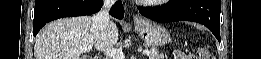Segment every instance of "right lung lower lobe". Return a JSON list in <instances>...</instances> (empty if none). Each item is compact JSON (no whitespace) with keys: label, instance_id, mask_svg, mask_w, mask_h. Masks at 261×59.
Listing matches in <instances>:
<instances>
[{"label":"right lung lower lobe","instance_id":"right-lung-lower-lobe-1","mask_svg":"<svg viewBox=\"0 0 261 59\" xmlns=\"http://www.w3.org/2000/svg\"><path fill=\"white\" fill-rule=\"evenodd\" d=\"M103 3L102 0H36L34 11L33 35L48 22L80 15H91L98 12ZM111 15L115 18L124 17V8L121 1L112 7Z\"/></svg>","mask_w":261,"mask_h":59}]
</instances>
